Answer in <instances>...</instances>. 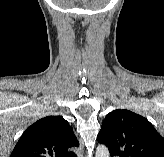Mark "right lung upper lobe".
Returning a JSON list of instances; mask_svg holds the SVG:
<instances>
[{"label":"right lung upper lobe","mask_w":164,"mask_h":157,"mask_svg":"<svg viewBox=\"0 0 164 157\" xmlns=\"http://www.w3.org/2000/svg\"><path fill=\"white\" fill-rule=\"evenodd\" d=\"M78 146L72 127L62 116H47L23 133L10 157H74L69 149Z\"/></svg>","instance_id":"cb5924a9"}]
</instances>
